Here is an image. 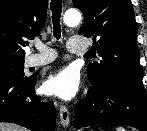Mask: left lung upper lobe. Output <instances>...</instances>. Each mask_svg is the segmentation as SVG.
Here are the masks:
<instances>
[{
    "label": "left lung upper lobe",
    "instance_id": "5c2ea615",
    "mask_svg": "<svg viewBox=\"0 0 147 131\" xmlns=\"http://www.w3.org/2000/svg\"><path fill=\"white\" fill-rule=\"evenodd\" d=\"M85 16L80 35L94 37V47L102 57L90 63L88 77L92 84L123 80L144 86L136 42L138 32L130 0H73Z\"/></svg>",
    "mask_w": 147,
    "mask_h": 131
}]
</instances>
